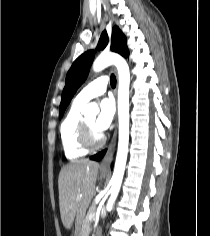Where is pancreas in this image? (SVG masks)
I'll list each match as a JSON object with an SVG mask.
<instances>
[{"label": "pancreas", "instance_id": "pancreas-1", "mask_svg": "<svg viewBox=\"0 0 210 236\" xmlns=\"http://www.w3.org/2000/svg\"><path fill=\"white\" fill-rule=\"evenodd\" d=\"M96 208L95 207H90L86 216L84 217L82 221V229H81V234L79 236H87V233L90 231V227L92 224V221L89 219V215L92 213H95Z\"/></svg>", "mask_w": 210, "mask_h": 236}]
</instances>
